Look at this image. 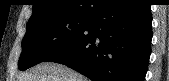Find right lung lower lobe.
Wrapping results in <instances>:
<instances>
[{
    "label": "right lung lower lobe",
    "instance_id": "right-lung-lower-lobe-1",
    "mask_svg": "<svg viewBox=\"0 0 169 81\" xmlns=\"http://www.w3.org/2000/svg\"><path fill=\"white\" fill-rule=\"evenodd\" d=\"M151 10L142 0H108L83 29L44 62L64 64L92 81H144L151 53Z\"/></svg>",
    "mask_w": 169,
    "mask_h": 81
}]
</instances>
